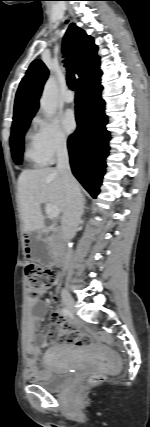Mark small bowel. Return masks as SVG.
I'll return each instance as SVG.
<instances>
[{
    "label": "small bowel",
    "instance_id": "c3829d8e",
    "mask_svg": "<svg viewBox=\"0 0 150 427\" xmlns=\"http://www.w3.org/2000/svg\"><path fill=\"white\" fill-rule=\"evenodd\" d=\"M49 300L41 301L38 299H30L28 302L27 311V332H26V351L30 358L27 360L28 378L39 379L45 376L36 368V358L40 355L43 337L36 333L37 323L49 311ZM50 319L54 322V326L50 329L49 335L51 339L67 337L69 342L77 345H85L89 342L88 338L81 335L77 327L64 320L57 309H52Z\"/></svg>",
    "mask_w": 150,
    "mask_h": 427
}]
</instances>
